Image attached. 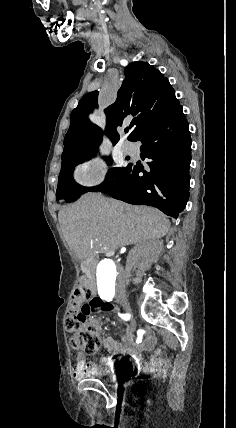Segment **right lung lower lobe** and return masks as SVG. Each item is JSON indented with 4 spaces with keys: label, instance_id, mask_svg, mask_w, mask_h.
Wrapping results in <instances>:
<instances>
[{
    "label": "right lung lower lobe",
    "instance_id": "obj_1",
    "mask_svg": "<svg viewBox=\"0 0 236 428\" xmlns=\"http://www.w3.org/2000/svg\"><path fill=\"white\" fill-rule=\"evenodd\" d=\"M130 141H141V157L148 167L129 164L100 192L135 205H148L178 218L189 198L191 138L189 125L179 104L156 119ZM143 172V176L140 173Z\"/></svg>",
    "mask_w": 236,
    "mask_h": 428
}]
</instances>
